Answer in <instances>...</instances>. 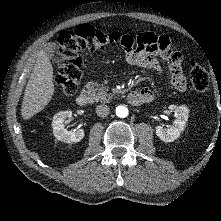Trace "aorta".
<instances>
[{"label": "aorta", "mask_w": 221, "mask_h": 221, "mask_svg": "<svg viewBox=\"0 0 221 221\" xmlns=\"http://www.w3.org/2000/svg\"><path fill=\"white\" fill-rule=\"evenodd\" d=\"M116 115L120 118H125L128 115V109L125 106L116 107Z\"/></svg>", "instance_id": "762f6f07"}]
</instances>
